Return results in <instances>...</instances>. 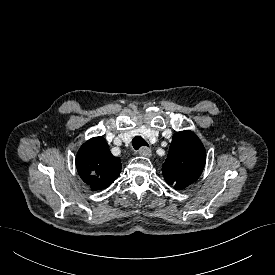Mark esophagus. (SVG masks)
<instances>
[{"mask_svg": "<svg viewBox=\"0 0 275 275\" xmlns=\"http://www.w3.org/2000/svg\"><path fill=\"white\" fill-rule=\"evenodd\" d=\"M139 155L143 157H150L152 155V151L149 147L143 146L139 150Z\"/></svg>", "mask_w": 275, "mask_h": 275, "instance_id": "obj_1", "label": "esophagus"}]
</instances>
